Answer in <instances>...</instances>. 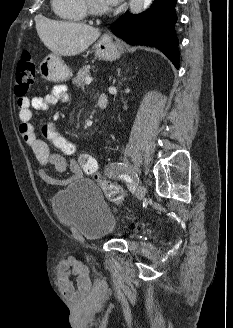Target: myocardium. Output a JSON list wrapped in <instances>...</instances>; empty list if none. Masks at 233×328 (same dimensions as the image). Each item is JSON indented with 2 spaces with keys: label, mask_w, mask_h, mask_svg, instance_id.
Wrapping results in <instances>:
<instances>
[{
  "label": "myocardium",
  "mask_w": 233,
  "mask_h": 328,
  "mask_svg": "<svg viewBox=\"0 0 233 328\" xmlns=\"http://www.w3.org/2000/svg\"><path fill=\"white\" fill-rule=\"evenodd\" d=\"M87 11L96 16L105 15L109 12L106 7H101L94 0H84Z\"/></svg>",
  "instance_id": "myocardium-1"
}]
</instances>
